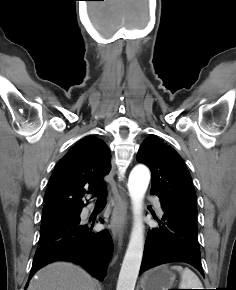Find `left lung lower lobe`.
Instances as JSON below:
<instances>
[{"label":"left lung lower lobe","mask_w":236,"mask_h":290,"mask_svg":"<svg viewBox=\"0 0 236 290\" xmlns=\"http://www.w3.org/2000/svg\"><path fill=\"white\" fill-rule=\"evenodd\" d=\"M162 205V204H161ZM160 227L148 231L139 274L168 262H186L203 276L197 227L175 216L163 205Z\"/></svg>","instance_id":"0a47b994"}]
</instances>
